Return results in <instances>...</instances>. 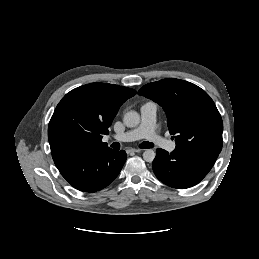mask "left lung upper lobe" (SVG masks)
I'll return each instance as SVG.
<instances>
[{"mask_svg": "<svg viewBox=\"0 0 259 259\" xmlns=\"http://www.w3.org/2000/svg\"><path fill=\"white\" fill-rule=\"evenodd\" d=\"M138 94L163 107L176 149L221 151L222 118L213 100L200 87L170 78L149 83Z\"/></svg>", "mask_w": 259, "mask_h": 259, "instance_id": "obj_1", "label": "left lung upper lobe"}]
</instances>
